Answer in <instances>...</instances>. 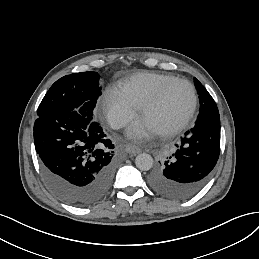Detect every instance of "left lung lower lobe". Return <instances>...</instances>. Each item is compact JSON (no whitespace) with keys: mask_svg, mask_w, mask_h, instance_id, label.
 Segmentation results:
<instances>
[{"mask_svg":"<svg viewBox=\"0 0 259 259\" xmlns=\"http://www.w3.org/2000/svg\"><path fill=\"white\" fill-rule=\"evenodd\" d=\"M176 146L175 154L150 174L148 182L155 192L170 199L184 200L204 187L219 158L218 108L200 112L195 126Z\"/></svg>","mask_w":259,"mask_h":259,"instance_id":"0a47b994","label":"left lung lower lobe"}]
</instances>
